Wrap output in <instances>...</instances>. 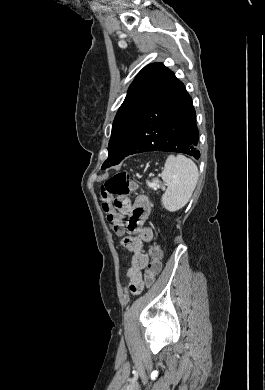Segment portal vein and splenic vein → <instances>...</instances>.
Segmentation results:
<instances>
[{
    "label": "portal vein and splenic vein",
    "mask_w": 265,
    "mask_h": 390,
    "mask_svg": "<svg viewBox=\"0 0 265 390\" xmlns=\"http://www.w3.org/2000/svg\"><path fill=\"white\" fill-rule=\"evenodd\" d=\"M156 186H157V182H151V183H150V187L156 188Z\"/></svg>",
    "instance_id": "18ae733b"
}]
</instances>
